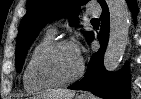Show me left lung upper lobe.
<instances>
[{"label":"left lung upper lobe","mask_w":141,"mask_h":99,"mask_svg":"<svg viewBox=\"0 0 141 99\" xmlns=\"http://www.w3.org/2000/svg\"><path fill=\"white\" fill-rule=\"evenodd\" d=\"M88 0H29L27 13L22 19L16 43V68L20 72L24 63L25 56L31 43L38 36L41 29L50 21L61 17H72L71 25L78 21L76 16L79 14L80 7ZM101 7L106 2L98 0ZM92 32L85 35L89 39Z\"/></svg>","instance_id":"5c2ea615"}]
</instances>
